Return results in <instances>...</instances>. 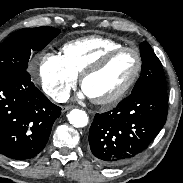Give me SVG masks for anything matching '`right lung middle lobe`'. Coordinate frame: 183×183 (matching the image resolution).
<instances>
[{"mask_svg":"<svg viewBox=\"0 0 183 183\" xmlns=\"http://www.w3.org/2000/svg\"><path fill=\"white\" fill-rule=\"evenodd\" d=\"M60 33L52 27L18 30L0 45V74L27 70L30 54L43 49Z\"/></svg>","mask_w":183,"mask_h":183,"instance_id":"dd1d6c3e","label":"right lung middle lobe"}]
</instances>
